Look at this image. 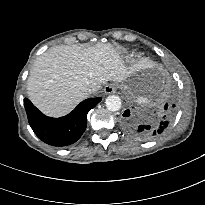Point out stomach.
<instances>
[{
	"label": "stomach",
	"instance_id": "0dacf381",
	"mask_svg": "<svg viewBox=\"0 0 205 205\" xmlns=\"http://www.w3.org/2000/svg\"><path fill=\"white\" fill-rule=\"evenodd\" d=\"M149 67H142L131 74L121 87L129 93L151 96L156 94L158 83L153 80Z\"/></svg>",
	"mask_w": 205,
	"mask_h": 205
}]
</instances>
